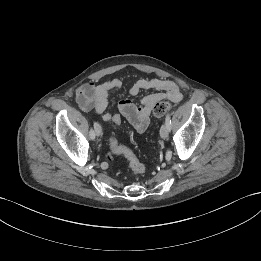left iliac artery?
<instances>
[{
    "instance_id": "44dca946",
    "label": "left iliac artery",
    "mask_w": 261,
    "mask_h": 261,
    "mask_svg": "<svg viewBox=\"0 0 261 261\" xmlns=\"http://www.w3.org/2000/svg\"><path fill=\"white\" fill-rule=\"evenodd\" d=\"M165 123L169 126V129H170L171 120H170V114L169 113L166 115Z\"/></svg>"
}]
</instances>
